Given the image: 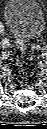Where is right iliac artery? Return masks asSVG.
<instances>
[{"label":"right iliac artery","instance_id":"right-iliac-artery-1","mask_svg":"<svg viewBox=\"0 0 47 129\" xmlns=\"http://www.w3.org/2000/svg\"><path fill=\"white\" fill-rule=\"evenodd\" d=\"M1 31H3V30H1ZM7 42H8L7 39H3V40H2V44H6Z\"/></svg>","mask_w":47,"mask_h":129}]
</instances>
